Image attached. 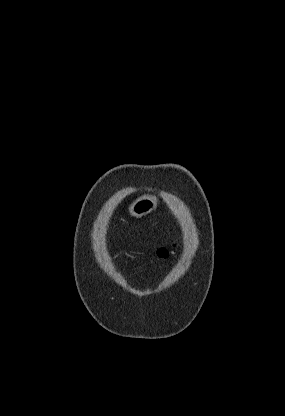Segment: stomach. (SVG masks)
Here are the masks:
<instances>
[{
    "label": "stomach",
    "instance_id": "stomach-1",
    "mask_svg": "<svg viewBox=\"0 0 285 416\" xmlns=\"http://www.w3.org/2000/svg\"><path fill=\"white\" fill-rule=\"evenodd\" d=\"M157 204L158 200L156 196H140V198H137V200L131 204L130 208H128V212L130 216L141 218V216H146V214H150L152 210H155Z\"/></svg>",
    "mask_w": 285,
    "mask_h": 416
}]
</instances>
